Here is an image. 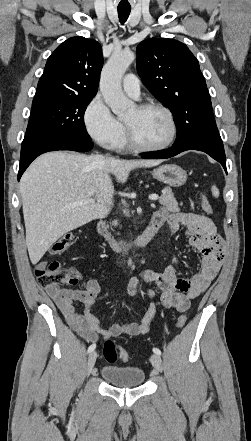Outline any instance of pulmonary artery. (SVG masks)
Returning a JSON list of instances; mask_svg holds the SVG:
<instances>
[{"label": "pulmonary artery", "instance_id": "obj_1", "mask_svg": "<svg viewBox=\"0 0 251 441\" xmlns=\"http://www.w3.org/2000/svg\"><path fill=\"white\" fill-rule=\"evenodd\" d=\"M123 90L131 97L138 98L140 95V81L134 74H127L123 79Z\"/></svg>", "mask_w": 251, "mask_h": 441}]
</instances>
